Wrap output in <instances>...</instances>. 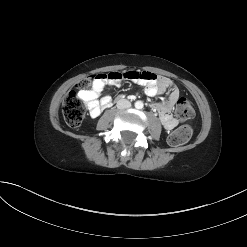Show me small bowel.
Wrapping results in <instances>:
<instances>
[{
  "label": "small bowel",
  "mask_w": 247,
  "mask_h": 247,
  "mask_svg": "<svg viewBox=\"0 0 247 247\" xmlns=\"http://www.w3.org/2000/svg\"><path fill=\"white\" fill-rule=\"evenodd\" d=\"M101 75L106 77L96 80L91 89L79 92L80 99L85 102L92 117L99 116L104 109L109 108L112 104L109 95L100 98L107 84L118 85L120 80H133L144 86L148 96H158L168 92V100L153 104L152 109L158 113L165 129L172 130L178 125V121L173 117L171 110L178 101L180 92L170 79L159 76L152 71H116Z\"/></svg>",
  "instance_id": "small-bowel-1"
}]
</instances>
